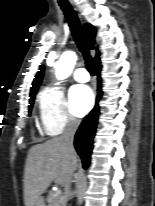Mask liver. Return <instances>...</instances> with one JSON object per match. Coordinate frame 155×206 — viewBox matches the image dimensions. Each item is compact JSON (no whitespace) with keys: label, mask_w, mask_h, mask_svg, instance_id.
Listing matches in <instances>:
<instances>
[{"label":"liver","mask_w":155,"mask_h":206,"mask_svg":"<svg viewBox=\"0 0 155 206\" xmlns=\"http://www.w3.org/2000/svg\"><path fill=\"white\" fill-rule=\"evenodd\" d=\"M76 152L66 151L61 137L30 148L24 173V201L34 206L52 181L66 185L77 165Z\"/></svg>","instance_id":"6515ba94"}]
</instances>
